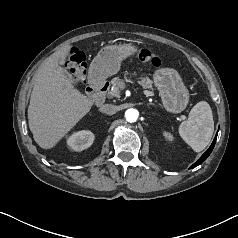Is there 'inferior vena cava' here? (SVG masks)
Instances as JSON below:
<instances>
[{"label":"inferior vena cava","instance_id":"obj_1","mask_svg":"<svg viewBox=\"0 0 238 238\" xmlns=\"http://www.w3.org/2000/svg\"><path fill=\"white\" fill-rule=\"evenodd\" d=\"M99 110H100L102 113L112 115V114H115V113H116V106H115V105H112V104H105V105H102V106L99 108Z\"/></svg>","mask_w":238,"mask_h":238}]
</instances>
